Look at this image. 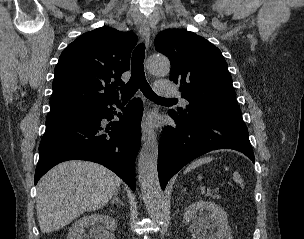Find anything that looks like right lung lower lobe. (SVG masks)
I'll list each match as a JSON object with an SVG mask.
<instances>
[{
    "instance_id": "98d812e1",
    "label": "right lung lower lobe",
    "mask_w": 304,
    "mask_h": 239,
    "mask_svg": "<svg viewBox=\"0 0 304 239\" xmlns=\"http://www.w3.org/2000/svg\"><path fill=\"white\" fill-rule=\"evenodd\" d=\"M113 104L118 105V98L78 116L46 121V131L39 145L35 184L56 164L80 159L109 168L135 191V157L141 144L142 102L139 98L133 99L118 114L119 121L104 127L102 120L114 117Z\"/></svg>"
}]
</instances>
